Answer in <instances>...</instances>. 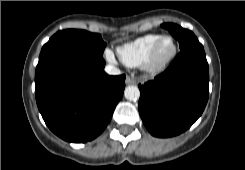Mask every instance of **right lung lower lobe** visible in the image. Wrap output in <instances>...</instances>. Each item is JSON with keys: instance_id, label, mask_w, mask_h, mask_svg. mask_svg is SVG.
I'll list each match as a JSON object with an SVG mask.
<instances>
[{"instance_id": "98d812e1", "label": "right lung lower lobe", "mask_w": 245, "mask_h": 170, "mask_svg": "<svg viewBox=\"0 0 245 170\" xmlns=\"http://www.w3.org/2000/svg\"><path fill=\"white\" fill-rule=\"evenodd\" d=\"M102 57L64 54L35 74L38 109L50 130L68 142L98 137L123 96L125 75L109 76Z\"/></svg>"}]
</instances>
